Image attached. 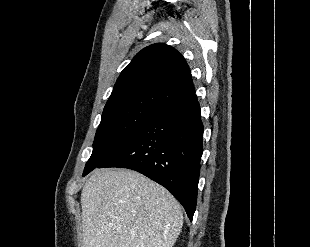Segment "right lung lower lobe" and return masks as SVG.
I'll return each mask as SVG.
<instances>
[{
	"label": "right lung lower lobe",
	"instance_id": "1",
	"mask_svg": "<svg viewBox=\"0 0 310 247\" xmlns=\"http://www.w3.org/2000/svg\"><path fill=\"white\" fill-rule=\"evenodd\" d=\"M202 139L201 110L194 93L151 117L98 168H128L144 174L168 189L192 221Z\"/></svg>",
	"mask_w": 310,
	"mask_h": 247
}]
</instances>
